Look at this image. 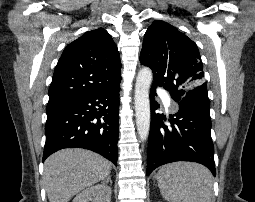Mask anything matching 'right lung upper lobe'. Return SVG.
<instances>
[{
	"label": "right lung upper lobe",
	"mask_w": 255,
	"mask_h": 202,
	"mask_svg": "<svg viewBox=\"0 0 255 202\" xmlns=\"http://www.w3.org/2000/svg\"><path fill=\"white\" fill-rule=\"evenodd\" d=\"M121 62L111 35L99 28L70 43L55 68L49 102L108 89L121 80Z\"/></svg>",
	"instance_id": "obj_1"
}]
</instances>
